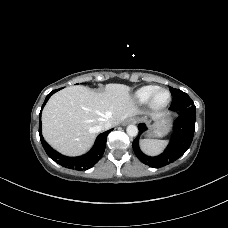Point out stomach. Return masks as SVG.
<instances>
[{"instance_id": "1", "label": "stomach", "mask_w": 228, "mask_h": 228, "mask_svg": "<svg viewBox=\"0 0 228 228\" xmlns=\"http://www.w3.org/2000/svg\"><path fill=\"white\" fill-rule=\"evenodd\" d=\"M170 120L164 116L156 118L155 122L151 126V130L147 133L150 137H163L170 131Z\"/></svg>"}]
</instances>
